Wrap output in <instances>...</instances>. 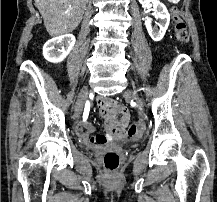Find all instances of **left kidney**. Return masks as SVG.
I'll list each match as a JSON object with an SVG mask.
<instances>
[{"instance_id":"1","label":"left kidney","mask_w":217,"mask_h":202,"mask_svg":"<svg viewBox=\"0 0 217 202\" xmlns=\"http://www.w3.org/2000/svg\"><path fill=\"white\" fill-rule=\"evenodd\" d=\"M139 2L143 4L145 0H139ZM152 4H153L154 16H156V18H158L159 20L158 22L159 30L158 28H152L151 18H145V26L152 40H154V42H160V40L164 38L165 32L170 24V14L166 6H164V4H161V2H158V0H152Z\"/></svg>"}]
</instances>
